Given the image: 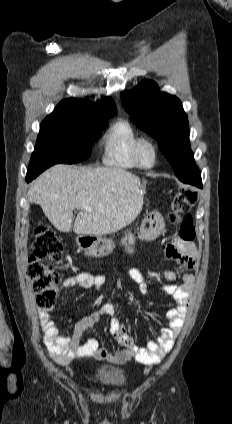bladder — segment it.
Listing matches in <instances>:
<instances>
[{
	"label": "bladder",
	"mask_w": 232,
	"mask_h": 424,
	"mask_svg": "<svg viewBox=\"0 0 232 424\" xmlns=\"http://www.w3.org/2000/svg\"><path fill=\"white\" fill-rule=\"evenodd\" d=\"M92 379L97 384L118 389L126 384L127 375L125 369L122 367L100 365L94 371Z\"/></svg>",
	"instance_id": "obj_1"
}]
</instances>
